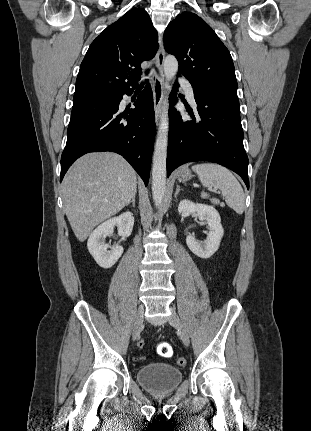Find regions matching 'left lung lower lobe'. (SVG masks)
<instances>
[{"mask_svg": "<svg viewBox=\"0 0 311 431\" xmlns=\"http://www.w3.org/2000/svg\"><path fill=\"white\" fill-rule=\"evenodd\" d=\"M178 87L175 83L174 90ZM194 98L201 119H195L190 109L192 120H186L170 107L167 176L184 163L211 161L236 172L249 189L237 92L194 90ZM170 102H177L175 92L171 93Z\"/></svg>", "mask_w": 311, "mask_h": 431, "instance_id": "1", "label": "left lung lower lobe"}]
</instances>
